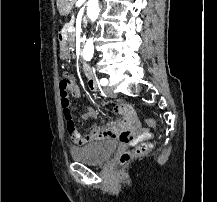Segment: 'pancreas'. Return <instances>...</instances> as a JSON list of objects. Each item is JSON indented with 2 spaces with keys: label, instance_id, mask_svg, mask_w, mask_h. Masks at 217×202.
<instances>
[{
  "label": "pancreas",
  "instance_id": "obj_1",
  "mask_svg": "<svg viewBox=\"0 0 217 202\" xmlns=\"http://www.w3.org/2000/svg\"><path fill=\"white\" fill-rule=\"evenodd\" d=\"M71 23L68 21L67 23H65V25L63 26V30H62V33H67L68 34V36H69V38H68V42H69V44H71V46H72V44H74V42H75V34H72V32H68L67 31V27L70 25Z\"/></svg>",
  "mask_w": 217,
  "mask_h": 202
}]
</instances>
